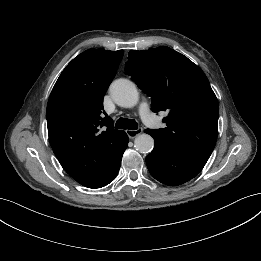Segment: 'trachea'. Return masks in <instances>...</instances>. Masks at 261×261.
Segmentation results:
<instances>
[{"label": "trachea", "instance_id": "3493384b", "mask_svg": "<svg viewBox=\"0 0 261 261\" xmlns=\"http://www.w3.org/2000/svg\"><path fill=\"white\" fill-rule=\"evenodd\" d=\"M115 128L116 129L136 130L138 128V124L134 119H127V118L121 117L116 121Z\"/></svg>", "mask_w": 261, "mask_h": 261}]
</instances>
